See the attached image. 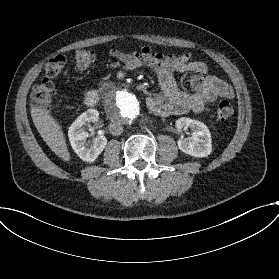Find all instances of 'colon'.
Masks as SVG:
<instances>
[{
  "label": "colon",
  "mask_w": 279,
  "mask_h": 279,
  "mask_svg": "<svg viewBox=\"0 0 279 279\" xmlns=\"http://www.w3.org/2000/svg\"><path fill=\"white\" fill-rule=\"evenodd\" d=\"M94 54L86 49H79L75 53V67L78 70L88 68L94 62ZM65 61L61 56L50 59L44 66L45 81L34 88L32 102L36 106L48 107L53 99L55 88L51 79L59 76L64 69ZM233 112L232 105L228 101H220L216 106L215 119L227 120Z\"/></svg>",
  "instance_id": "obj_1"
}]
</instances>
